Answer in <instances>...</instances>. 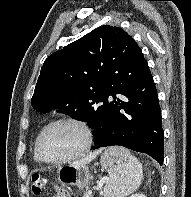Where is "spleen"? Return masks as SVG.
Returning <instances> with one entry per match:
<instances>
[{
  "instance_id": "1",
  "label": "spleen",
  "mask_w": 191,
  "mask_h": 197,
  "mask_svg": "<svg viewBox=\"0 0 191 197\" xmlns=\"http://www.w3.org/2000/svg\"><path fill=\"white\" fill-rule=\"evenodd\" d=\"M108 150L116 158V165L109 172L105 196L126 197L139 188L143 178L142 165L123 147L114 146Z\"/></svg>"
}]
</instances>
